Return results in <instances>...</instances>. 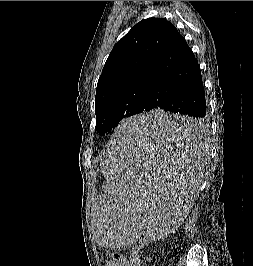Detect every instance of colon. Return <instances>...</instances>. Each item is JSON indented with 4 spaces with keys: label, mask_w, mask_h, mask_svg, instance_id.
<instances>
[{
    "label": "colon",
    "mask_w": 253,
    "mask_h": 266,
    "mask_svg": "<svg viewBox=\"0 0 253 266\" xmlns=\"http://www.w3.org/2000/svg\"><path fill=\"white\" fill-rule=\"evenodd\" d=\"M106 266H124V261L120 255L114 253L110 254L107 259Z\"/></svg>",
    "instance_id": "5ec220e1"
}]
</instances>
